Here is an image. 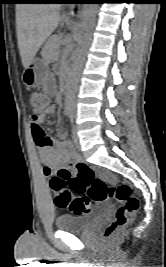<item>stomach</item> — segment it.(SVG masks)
I'll return each instance as SVG.
<instances>
[{
  "mask_svg": "<svg viewBox=\"0 0 166 267\" xmlns=\"http://www.w3.org/2000/svg\"><path fill=\"white\" fill-rule=\"evenodd\" d=\"M49 69L46 61L34 59L32 63L23 71V81L28 87H38L43 85L48 79Z\"/></svg>",
  "mask_w": 166,
  "mask_h": 267,
  "instance_id": "obj_1",
  "label": "stomach"
}]
</instances>
